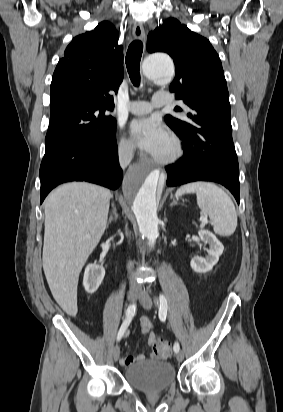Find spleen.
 Wrapping results in <instances>:
<instances>
[{"label":"spleen","instance_id":"3e777b00","mask_svg":"<svg viewBox=\"0 0 283 412\" xmlns=\"http://www.w3.org/2000/svg\"><path fill=\"white\" fill-rule=\"evenodd\" d=\"M196 193L197 205L208 215L214 232L221 236L232 235L237 227V213L230 197L218 186L208 182H194L181 186L176 196Z\"/></svg>","mask_w":283,"mask_h":412}]
</instances>
